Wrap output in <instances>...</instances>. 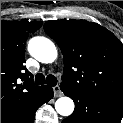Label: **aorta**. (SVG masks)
Returning <instances> with one entry per match:
<instances>
[{
  "label": "aorta",
  "mask_w": 123,
  "mask_h": 123,
  "mask_svg": "<svg viewBox=\"0 0 123 123\" xmlns=\"http://www.w3.org/2000/svg\"><path fill=\"white\" fill-rule=\"evenodd\" d=\"M29 53L39 62L52 63L57 58V49L54 43L42 36H36L28 42ZM74 102L69 97H61L55 103V109L62 116H70L74 111Z\"/></svg>",
  "instance_id": "762f6f07"
}]
</instances>
